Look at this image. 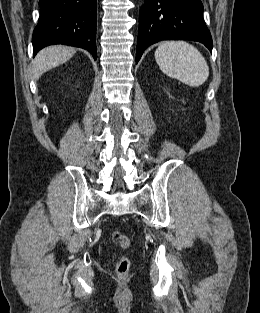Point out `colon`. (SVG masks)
<instances>
[{"label": "colon", "instance_id": "obj_1", "mask_svg": "<svg viewBox=\"0 0 260 313\" xmlns=\"http://www.w3.org/2000/svg\"><path fill=\"white\" fill-rule=\"evenodd\" d=\"M112 239L114 243L121 248H127L130 244L129 238L119 231H115L112 234ZM130 265L131 264L129 258L127 256H121L118 259L115 267V272L117 276L122 279L126 278L130 270Z\"/></svg>", "mask_w": 260, "mask_h": 313}]
</instances>
